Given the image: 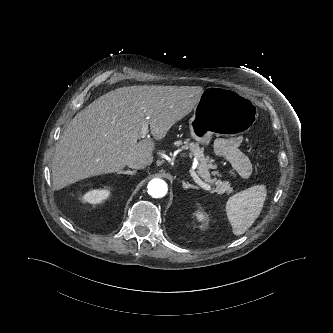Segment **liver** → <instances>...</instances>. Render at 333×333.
I'll return each mask as SVG.
<instances>
[{
    "label": "liver",
    "instance_id": "1",
    "mask_svg": "<svg viewBox=\"0 0 333 333\" xmlns=\"http://www.w3.org/2000/svg\"><path fill=\"white\" fill-rule=\"evenodd\" d=\"M203 92L200 86L141 85L100 96L72 119L56 145L54 189L119 172L134 159L151 165L155 143L140 140L146 118L153 138L163 139L198 104Z\"/></svg>",
    "mask_w": 333,
    "mask_h": 333
}]
</instances>
